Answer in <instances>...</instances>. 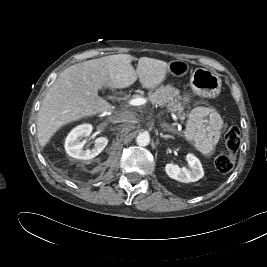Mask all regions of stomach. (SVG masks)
<instances>
[{"mask_svg": "<svg viewBox=\"0 0 267 267\" xmlns=\"http://www.w3.org/2000/svg\"><path fill=\"white\" fill-rule=\"evenodd\" d=\"M168 71L182 76L188 71L184 62L174 61L169 64ZM190 86L195 95L203 98H216L221 92L222 81L214 72L197 68L191 73Z\"/></svg>", "mask_w": 267, "mask_h": 267, "instance_id": "obj_1", "label": "stomach"}]
</instances>
